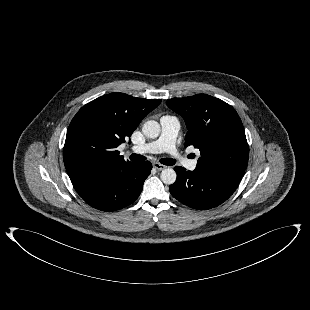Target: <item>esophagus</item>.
Wrapping results in <instances>:
<instances>
[{
  "mask_svg": "<svg viewBox=\"0 0 310 310\" xmlns=\"http://www.w3.org/2000/svg\"><path fill=\"white\" fill-rule=\"evenodd\" d=\"M153 168H155V169L158 170V171H161V170L165 169L166 166H165V165H162V164H160V163L155 162V163H153Z\"/></svg>",
  "mask_w": 310,
  "mask_h": 310,
  "instance_id": "1",
  "label": "esophagus"
}]
</instances>
